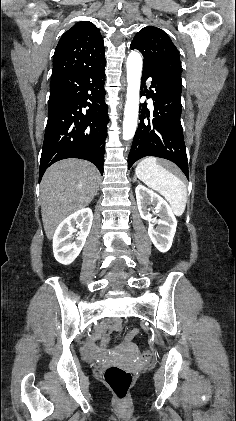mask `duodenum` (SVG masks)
<instances>
[{
	"instance_id": "duodenum-1",
	"label": "duodenum",
	"mask_w": 236,
	"mask_h": 421,
	"mask_svg": "<svg viewBox=\"0 0 236 421\" xmlns=\"http://www.w3.org/2000/svg\"><path fill=\"white\" fill-rule=\"evenodd\" d=\"M115 328H116V329H120V328H121L120 324H119V323H118V324H116V325H115ZM86 353H87V356H88V357H90V358H91V357H93V356H94V354H95L94 348L89 346V347L87 348V350H86Z\"/></svg>"
}]
</instances>
